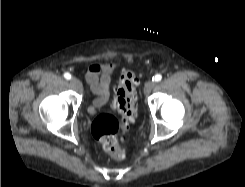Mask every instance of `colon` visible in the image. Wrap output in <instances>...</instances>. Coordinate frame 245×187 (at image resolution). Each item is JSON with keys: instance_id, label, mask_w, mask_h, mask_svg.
I'll use <instances>...</instances> for the list:
<instances>
[{"instance_id": "obj_1", "label": "colon", "mask_w": 245, "mask_h": 187, "mask_svg": "<svg viewBox=\"0 0 245 187\" xmlns=\"http://www.w3.org/2000/svg\"><path fill=\"white\" fill-rule=\"evenodd\" d=\"M138 76L130 70L121 73L115 90L113 108L120 117L103 113L98 115L92 123V134L102 144L104 149L116 159H123L125 152L120 148L118 138L127 131L130 122L136 116V90Z\"/></svg>"}]
</instances>
